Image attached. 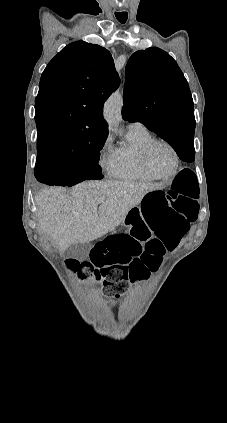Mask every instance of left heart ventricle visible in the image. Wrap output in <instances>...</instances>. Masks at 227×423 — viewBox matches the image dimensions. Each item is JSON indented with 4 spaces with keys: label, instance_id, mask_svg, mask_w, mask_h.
Instances as JSON below:
<instances>
[{
    "label": "left heart ventricle",
    "instance_id": "obj_1",
    "mask_svg": "<svg viewBox=\"0 0 227 423\" xmlns=\"http://www.w3.org/2000/svg\"><path fill=\"white\" fill-rule=\"evenodd\" d=\"M148 162L151 169L158 175L169 174L174 166L171 151L163 145H155L149 152Z\"/></svg>",
    "mask_w": 227,
    "mask_h": 423
}]
</instances>
